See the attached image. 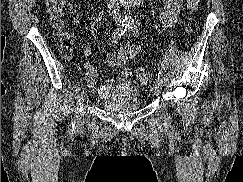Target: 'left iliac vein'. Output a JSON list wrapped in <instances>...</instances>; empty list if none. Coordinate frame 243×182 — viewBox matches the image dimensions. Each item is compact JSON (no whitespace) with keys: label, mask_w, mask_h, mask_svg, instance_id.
<instances>
[{"label":"left iliac vein","mask_w":243,"mask_h":182,"mask_svg":"<svg viewBox=\"0 0 243 182\" xmlns=\"http://www.w3.org/2000/svg\"><path fill=\"white\" fill-rule=\"evenodd\" d=\"M154 88H155L156 91L159 92V90H160V88H161V82L159 81V79H157V80L155 81Z\"/></svg>","instance_id":"left-iliac-vein-1"}]
</instances>
